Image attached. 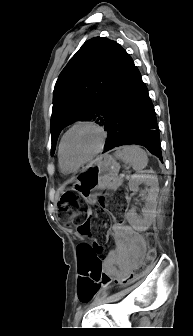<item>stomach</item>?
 I'll return each mask as SVG.
<instances>
[{
    "label": "stomach",
    "mask_w": 193,
    "mask_h": 336,
    "mask_svg": "<svg viewBox=\"0 0 193 336\" xmlns=\"http://www.w3.org/2000/svg\"><path fill=\"white\" fill-rule=\"evenodd\" d=\"M119 168V164L111 156H100L76 177L73 190L79 192L88 204H94L96 192L110 188V183L116 178Z\"/></svg>",
    "instance_id": "0dacf381"
}]
</instances>
